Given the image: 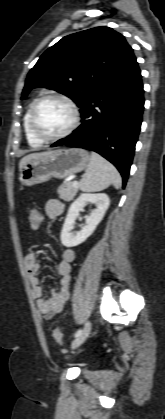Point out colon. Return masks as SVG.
<instances>
[{"label":"colon","mask_w":165,"mask_h":419,"mask_svg":"<svg viewBox=\"0 0 165 419\" xmlns=\"http://www.w3.org/2000/svg\"><path fill=\"white\" fill-rule=\"evenodd\" d=\"M29 222L32 228L36 229L38 228L40 222H41V215L40 212L36 209H31L29 212ZM53 336L55 341L59 344V345H63L64 344V337L62 332L60 331V329L55 328L53 330Z\"/></svg>","instance_id":"1"}]
</instances>
